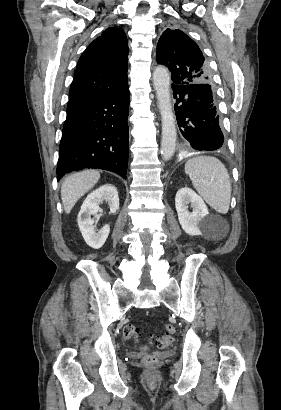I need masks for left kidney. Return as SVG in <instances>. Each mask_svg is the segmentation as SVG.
<instances>
[{
	"instance_id": "obj_1",
	"label": "left kidney",
	"mask_w": 281,
	"mask_h": 410,
	"mask_svg": "<svg viewBox=\"0 0 281 410\" xmlns=\"http://www.w3.org/2000/svg\"><path fill=\"white\" fill-rule=\"evenodd\" d=\"M188 204L193 207L192 212H189ZM175 207L182 229L190 236L201 235L210 222L203 199L192 189L183 187L176 193Z\"/></svg>"
}]
</instances>
